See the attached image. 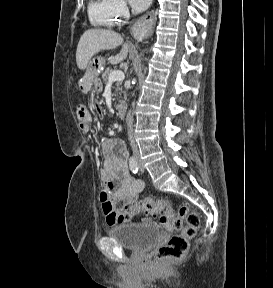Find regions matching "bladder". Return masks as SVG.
Here are the masks:
<instances>
[{
	"label": "bladder",
	"mask_w": 273,
	"mask_h": 288,
	"mask_svg": "<svg viewBox=\"0 0 273 288\" xmlns=\"http://www.w3.org/2000/svg\"><path fill=\"white\" fill-rule=\"evenodd\" d=\"M108 235L117 244L141 252L159 241L160 230L150 223H126L115 226Z\"/></svg>",
	"instance_id": "bladder-1"
}]
</instances>
